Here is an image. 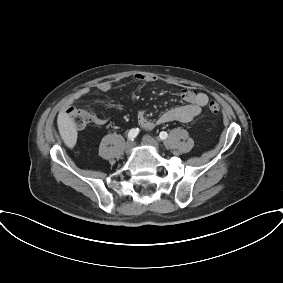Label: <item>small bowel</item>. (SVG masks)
<instances>
[{"mask_svg": "<svg viewBox=\"0 0 283 283\" xmlns=\"http://www.w3.org/2000/svg\"><path fill=\"white\" fill-rule=\"evenodd\" d=\"M134 80L140 83H151L156 81V77L147 74H136ZM112 85L110 82H101L98 84L97 89L101 93H107L111 90ZM90 93L88 88L81 89L76 98L80 99ZM181 98L186 102L185 105L177 106L164 111L155 120L147 118L144 110H140L137 114L138 124L145 130H151L156 125L165 124L173 121L187 123L199 116L202 108L205 107L209 101L206 93L197 92L191 89H185L180 93ZM93 121L96 125H105L108 120L96 114L93 115Z\"/></svg>", "mask_w": 283, "mask_h": 283, "instance_id": "small-bowel-1", "label": "small bowel"}]
</instances>
